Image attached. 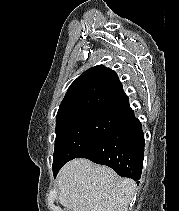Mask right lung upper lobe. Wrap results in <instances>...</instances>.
<instances>
[{"instance_id": "obj_1", "label": "right lung upper lobe", "mask_w": 179, "mask_h": 211, "mask_svg": "<svg viewBox=\"0 0 179 211\" xmlns=\"http://www.w3.org/2000/svg\"><path fill=\"white\" fill-rule=\"evenodd\" d=\"M128 105V97L116 72L97 65L82 73L70 85L56 118L91 110L122 112Z\"/></svg>"}]
</instances>
